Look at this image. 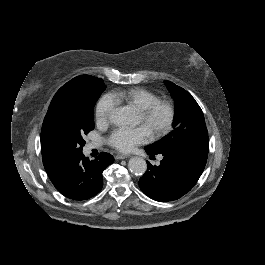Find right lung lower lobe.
Listing matches in <instances>:
<instances>
[{
  "mask_svg": "<svg viewBox=\"0 0 265 265\" xmlns=\"http://www.w3.org/2000/svg\"><path fill=\"white\" fill-rule=\"evenodd\" d=\"M114 158L102 152L95 160H89L82 153L69 160L46 168L55 188L65 197L86 200L96 195L103 186L102 172Z\"/></svg>",
  "mask_w": 265,
  "mask_h": 265,
  "instance_id": "1",
  "label": "right lung lower lobe"
}]
</instances>
